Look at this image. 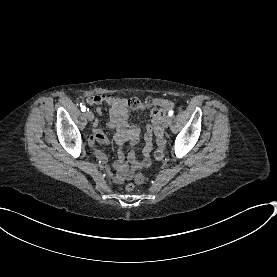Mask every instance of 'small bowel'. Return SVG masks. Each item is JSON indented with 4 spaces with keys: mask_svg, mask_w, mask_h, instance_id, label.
I'll return each mask as SVG.
<instances>
[{
    "mask_svg": "<svg viewBox=\"0 0 277 277\" xmlns=\"http://www.w3.org/2000/svg\"><path fill=\"white\" fill-rule=\"evenodd\" d=\"M89 104L95 105L98 103L105 104L109 106V121L108 127L115 130L114 138L117 143L124 145L126 142H129L131 145H134L138 142L140 136V130L136 126H130L128 123V109H127V100L121 97H107V95L102 94L95 97L91 96L88 99ZM153 105H158L162 108L164 112L168 111L172 107V102L169 99L165 98H156L153 100ZM142 107L141 109H143ZM153 129L150 124L146 126V132L144 135L145 146L144 154L142 159H137L134 152L130 151L129 161L131 165H128L124 162V153L121 151L118 155V160L115 163V169L117 173L115 175L109 174L112 180L115 183H123L126 180L132 178L135 170L144 169L150 166L149 154L152 147L153 139ZM107 137L101 130H96L94 135L89 140L91 146H94L96 142H106ZM97 157L105 162L106 158L104 154L100 151L96 152ZM123 160V162H121Z\"/></svg>",
    "mask_w": 277,
    "mask_h": 277,
    "instance_id": "c3829d8e",
    "label": "small bowel"
}]
</instances>
